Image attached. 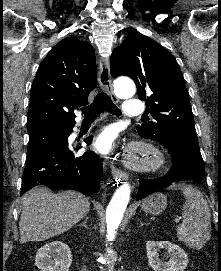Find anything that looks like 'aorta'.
Listing matches in <instances>:
<instances>
[{
	"label": "aorta",
	"instance_id": "1",
	"mask_svg": "<svg viewBox=\"0 0 221 271\" xmlns=\"http://www.w3.org/2000/svg\"><path fill=\"white\" fill-rule=\"evenodd\" d=\"M115 94L122 99L131 98L136 91L135 84L130 79H119L114 82ZM131 188L128 183L121 185L114 193L106 209L107 240L112 241L123 219L124 212L130 200ZM109 253H113L108 249Z\"/></svg>",
	"mask_w": 221,
	"mask_h": 271
}]
</instances>
